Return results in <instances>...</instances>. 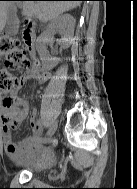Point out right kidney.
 I'll return each instance as SVG.
<instances>
[{
  "mask_svg": "<svg viewBox=\"0 0 137 189\" xmlns=\"http://www.w3.org/2000/svg\"><path fill=\"white\" fill-rule=\"evenodd\" d=\"M74 19L69 14H64L53 20L47 29L37 38L36 49L42 61V64L48 69H53L59 59L49 56L46 44L53 40V35L57 31H64L66 34L60 39L59 43L63 48H68L71 44V37L74 31Z\"/></svg>",
  "mask_w": 137,
  "mask_h": 189,
  "instance_id": "ca27d5eb",
  "label": "right kidney"
}]
</instances>
